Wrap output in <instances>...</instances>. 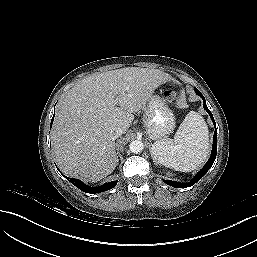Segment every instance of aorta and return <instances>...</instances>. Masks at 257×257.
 <instances>
[{"label":"aorta","instance_id":"obj_1","mask_svg":"<svg viewBox=\"0 0 257 257\" xmlns=\"http://www.w3.org/2000/svg\"><path fill=\"white\" fill-rule=\"evenodd\" d=\"M129 149L132 153L138 154L144 149V144L141 140H134L129 144Z\"/></svg>","mask_w":257,"mask_h":257}]
</instances>
